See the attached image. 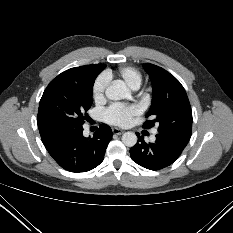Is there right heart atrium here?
Returning a JSON list of instances; mask_svg holds the SVG:
<instances>
[{"label": "right heart atrium", "mask_w": 233, "mask_h": 233, "mask_svg": "<svg viewBox=\"0 0 233 233\" xmlns=\"http://www.w3.org/2000/svg\"><path fill=\"white\" fill-rule=\"evenodd\" d=\"M109 77L106 73L99 75L92 85V98L96 103H102L105 99V90Z\"/></svg>", "instance_id": "1"}]
</instances>
